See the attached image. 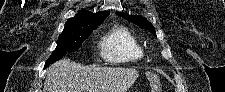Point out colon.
<instances>
[{"mask_svg":"<svg viewBox=\"0 0 225 92\" xmlns=\"http://www.w3.org/2000/svg\"><path fill=\"white\" fill-rule=\"evenodd\" d=\"M147 79L150 83L152 92H161L162 91L160 79L156 75L149 73V74H147Z\"/></svg>","mask_w":225,"mask_h":92,"instance_id":"colon-1","label":"colon"}]
</instances>
